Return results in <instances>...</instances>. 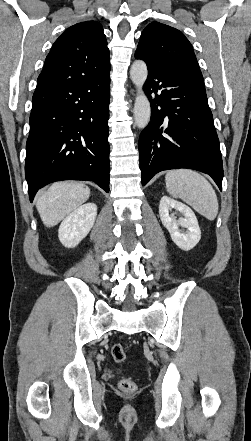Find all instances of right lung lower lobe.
I'll use <instances>...</instances> for the list:
<instances>
[{
    "label": "right lung lower lobe",
    "mask_w": 251,
    "mask_h": 441,
    "mask_svg": "<svg viewBox=\"0 0 251 441\" xmlns=\"http://www.w3.org/2000/svg\"><path fill=\"white\" fill-rule=\"evenodd\" d=\"M109 73L37 84L25 163L31 202L60 180H89L109 192Z\"/></svg>",
    "instance_id": "98d812e1"
}]
</instances>
